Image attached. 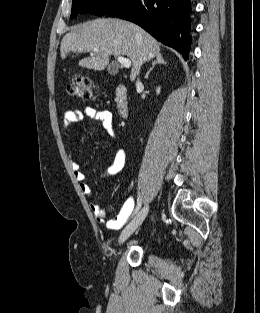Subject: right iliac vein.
Wrapping results in <instances>:
<instances>
[{"mask_svg": "<svg viewBox=\"0 0 260 313\" xmlns=\"http://www.w3.org/2000/svg\"><path fill=\"white\" fill-rule=\"evenodd\" d=\"M149 211V205L145 204L144 207L137 213L132 221L126 226L119 238V245L123 244L133 232L141 225L146 218Z\"/></svg>", "mask_w": 260, "mask_h": 313, "instance_id": "1", "label": "right iliac vein"}]
</instances>
